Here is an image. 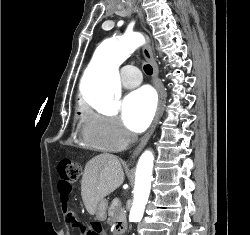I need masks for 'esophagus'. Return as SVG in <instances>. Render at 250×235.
<instances>
[{
  "label": "esophagus",
  "mask_w": 250,
  "mask_h": 235,
  "mask_svg": "<svg viewBox=\"0 0 250 235\" xmlns=\"http://www.w3.org/2000/svg\"><path fill=\"white\" fill-rule=\"evenodd\" d=\"M138 16L140 17L141 21L143 22V14L141 12L140 9L137 10ZM143 54L146 58V60L152 65L153 67V84L157 90L158 93V107L155 113V117L153 119V122L150 126V128L148 129V131L146 132V134L141 138L139 144L136 146V148L133 150L132 154H131V159L135 158L138 153L144 148V146L147 144V142L149 141L151 135L153 134L156 125L158 123V120L160 118V115L162 113V109H163V104L165 101V95L163 92V89L161 87L160 81H159V69L156 63V60L153 56L151 47L149 44H145L143 46Z\"/></svg>",
  "instance_id": "34e87169"
}]
</instances>
